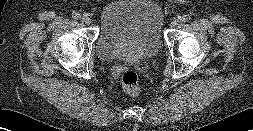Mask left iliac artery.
Wrapping results in <instances>:
<instances>
[{
    "label": "left iliac artery",
    "mask_w": 253,
    "mask_h": 131,
    "mask_svg": "<svg viewBox=\"0 0 253 131\" xmlns=\"http://www.w3.org/2000/svg\"><path fill=\"white\" fill-rule=\"evenodd\" d=\"M179 19L182 22H188L191 19V17L188 14H185L182 17H180Z\"/></svg>",
    "instance_id": "1"
}]
</instances>
